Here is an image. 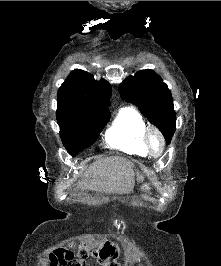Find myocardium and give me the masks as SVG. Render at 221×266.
Returning a JSON list of instances; mask_svg holds the SVG:
<instances>
[{
    "mask_svg": "<svg viewBox=\"0 0 221 266\" xmlns=\"http://www.w3.org/2000/svg\"><path fill=\"white\" fill-rule=\"evenodd\" d=\"M154 140L158 141V147L153 144ZM145 145L150 155L160 157L163 155L166 147V141L163 135L155 128H147L144 136Z\"/></svg>",
    "mask_w": 221,
    "mask_h": 266,
    "instance_id": "obj_1",
    "label": "myocardium"
}]
</instances>
